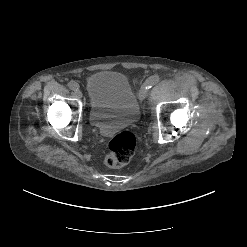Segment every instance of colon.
Segmentation results:
<instances>
[{"label":"colon","instance_id":"1","mask_svg":"<svg viewBox=\"0 0 247 247\" xmlns=\"http://www.w3.org/2000/svg\"><path fill=\"white\" fill-rule=\"evenodd\" d=\"M137 140L130 131H122L113 136L108 142V153L105 156V164L111 168H119L126 165L134 156Z\"/></svg>","mask_w":247,"mask_h":247}]
</instances>
